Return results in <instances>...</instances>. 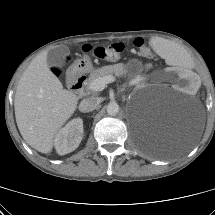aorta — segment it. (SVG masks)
<instances>
[{
  "label": "aorta",
  "mask_w": 215,
  "mask_h": 215,
  "mask_svg": "<svg viewBox=\"0 0 215 215\" xmlns=\"http://www.w3.org/2000/svg\"><path fill=\"white\" fill-rule=\"evenodd\" d=\"M106 110H107L108 115L115 116L119 113L120 108H119V105L117 104V102L113 101L107 105Z\"/></svg>",
  "instance_id": "1"
}]
</instances>
